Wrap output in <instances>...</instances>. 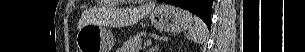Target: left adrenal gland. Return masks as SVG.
Segmentation results:
<instances>
[{
	"label": "left adrenal gland",
	"mask_w": 305,
	"mask_h": 52,
	"mask_svg": "<svg viewBox=\"0 0 305 52\" xmlns=\"http://www.w3.org/2000/svg\"><path fill=\"white\" fill-rule=\"evenodd\" d=\"M159 50V45H155L150 49V52H157Z\"/></svg>",
	"instance_id": "obj_1"
}]
</instances>
